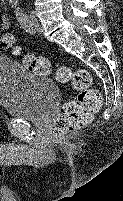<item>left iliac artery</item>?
<instances>
[{
	"instance_id": "44dca946",
	"label": "left iliac artery",
	"mask_w": 123,
	"mask_h": 201,
	"mask_svg": "<svg viewBox=\"0 0 123 201\" xmlns=\"http://www.w3.org/2000/svg\"><path fill=\"white\" fill-rule=\"evenodd\" d=\"M16 17L19 23L21 24V26L25 29V31L29 33L33 32V28L31 26V22L28 16L20 8H17L16 10Z\"/></svg>"
}]
</instances>
